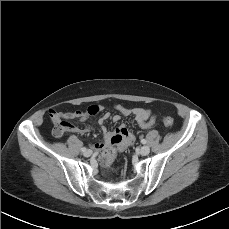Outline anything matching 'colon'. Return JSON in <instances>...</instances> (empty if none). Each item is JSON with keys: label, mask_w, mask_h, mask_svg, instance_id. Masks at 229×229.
<instances>
[{"label": "colon", "mask_w": 229, "mask_h": 229, "mask_svg": "<svg viewBox=\"0 0 229 229\" xmlns=\"http://www.w3.org/2000/svg\"><path fill=\"white\" fill-rule=\"evenodd\" d=\"M99 110L97 105H92L86 110V114L88 116L96 115ZM52 121L54 123L53 133L57 137L63 135L70 128V123L62 115L53 114ZM162 121L168 128L173 126V119L171 117H164ZM123 141L124 136L117 134L112 138L111 144L104 149L100 160L105 166H109L115 160L123 146L127 145L124 144Z\"/></svg>", "instance_id": "obj_1"}]
</instances>
